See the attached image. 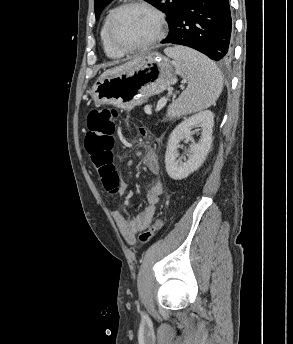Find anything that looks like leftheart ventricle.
I'll return each mask as SVG.
<instances>
[{"instance_id": "1", "label": "left heart ventricle", "mask_w": 293, "mask_h": 344, "mask_svg": "<svg viewBox=\"0 0 293 344\" xmlns=\"http://www.w3.org/2000/svg\"><path fill=\"white\" fill-rule=\"evenodd\" d=\"M115 37L125 46H135L149 40L156 32V20L145 9L132 7L123 10L114 27Z\"/></svg>"}]
</instances>
